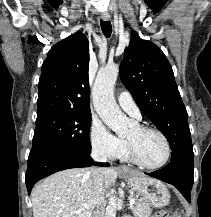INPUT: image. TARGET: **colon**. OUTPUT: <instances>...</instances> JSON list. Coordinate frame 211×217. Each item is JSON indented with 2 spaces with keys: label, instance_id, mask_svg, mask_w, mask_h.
Segmentation results:
<instances>
[{
  "label": "colon",
  "instance_id": "colon-1",
  "mask_svg": "<svg viewBox=\"0 0 211 217\" xmlns=\"http://www.w3.org/2000/svg\"><path fill=\"white\" fill-rule=\"evenodd\" d=\"M155 217H180L177 213H170L167 211H161L156 214Z\"/></svg>",
  "mask_w": 211,
  "mask_h": 217
}]
</instances>
